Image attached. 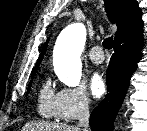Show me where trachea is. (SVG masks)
I'll return each mask as SVG.
<instances>
[{
    "instance_id": "obj_1",
    "label": "trachea",
    "mask_w": 147,
    "mask_h": 131,
    "mask_svg": "<svg viewBox=\"0 0 147 131\" xmlns=\"http://www.w3.org/2000/svg\"><path fill=\"white\" fill-rule=\"evenodd\" d=\"M112 45H113V36H110L103 41V47L105 49H108V50L112 49Z\"/></svg>"
}]
</instances>
